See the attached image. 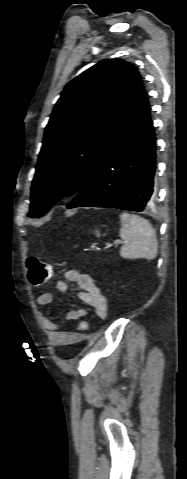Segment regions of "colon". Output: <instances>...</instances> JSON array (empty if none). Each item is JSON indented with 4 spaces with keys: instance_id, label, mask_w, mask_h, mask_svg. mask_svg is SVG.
Here are the masks:
<instances>
[{
    "instance_id": "obj_1",
    "label": "colon",
    "mask_w": 187,
    "mask_h": 479,
    "mask_svg": "<svg viewBox=\"0 0 187 479\" xmlns=\"http://www.w3.org/2000/svg\"><path fill=\"white\" fill-rule=\"evenodd\" d=\"M26 269L29 281L39 286L44 284L50 276V265L37 257H29L26 261ZM89 329V322L81 320L77 326L79 332H86Z\"/></svg>"
}]
</instances>
